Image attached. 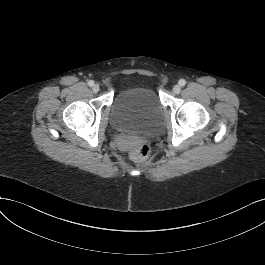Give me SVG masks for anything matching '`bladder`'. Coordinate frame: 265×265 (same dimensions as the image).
Instances as JSON below:
<instances>
[{"label": "bladder", "mask_w": 265, "mask_h": 265, "mask_svg": "<svg viewBox=\"0 0 265 265\" xmlns=\"http://www.w3.org/2000/svg\"><path fill=\"white\" fill-rule=\"evenodd\" d=\"M113 126L147 132L160 127L163 113L158 96L149 88L122 90L111 104Z\"/></svg>", "instance_id": "1"}]
</instances>
